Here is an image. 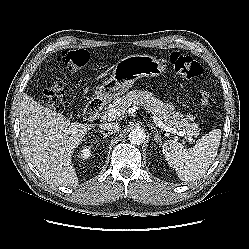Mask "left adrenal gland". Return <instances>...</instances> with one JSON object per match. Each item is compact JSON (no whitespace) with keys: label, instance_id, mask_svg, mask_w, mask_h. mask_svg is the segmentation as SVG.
<instances>
[{"label":"left adrenal gland","instance_id":"a2214340","mask_svg":"<svg viewBox=\"0 0 249 249\" xmlns=\"http://www.w3.org/2000/svg\"><path fill=\"white\" fill-rule=\"evenodd\" d=\"M151 128L154 129V131H155L154 140H155L156 142H160V141H161V137L159 136L158 130H157L156 127H154V126H151Z\"/></svg>","mask_w":249,"mask_h":249}]
</instances>
